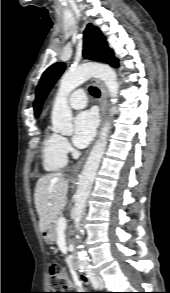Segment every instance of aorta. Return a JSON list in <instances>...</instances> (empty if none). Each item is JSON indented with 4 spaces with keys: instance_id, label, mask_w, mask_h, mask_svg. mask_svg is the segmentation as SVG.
<instances>
[{
    "instance_id": "762f6f07",
    "label": "aorta",
    "mask_w": 170,
    "mask_h": 293,
    "mask_svg": "<svg viewBox=\"0 0 170 293\" xmlns=\"http://www.w3.org/2000/svg\"><path fill=\"white\" fill-rule=\"evenodd\" d=\"M90 77L100 78L106 85L111 100L117 101L119 84L116 72L108 65L100 63H90L71 69L64 73L61 78L59 90L55 98L51 120L52 130L57 133L71 135L73 133L72 111L68 106L67 97L75 88L84 83ZM115 112V107L110 109L111 115ZM110 123L105 122L100 137L92 148L87 161L79 175L78 188L75 195L74 225L77 231L81 230L82 215L85 211L86 202L90 194L96 172L104 155ZM80 267H89V259L84 251L78 253Z\"/></svg>"
}]
</instances>
